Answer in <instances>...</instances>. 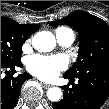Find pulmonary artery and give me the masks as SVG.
<instances>
[{
  "instance_id": "e3ab8cb5",
  "label": "pulmonary artery",
  "mask_w": 109,
  "mask_h": 109,
  "mask_svg": "<svg viewBox=\"0 0 109 109\" xmlns=\"http://www.w3.org/2000/svg\"><path fill=\"white\" fill-rule=\"evenodd\" d=\"M57 42L64 47H69L75 41V35L71 30H64L56 33Z\"/></svg>"
}]
</instances>
